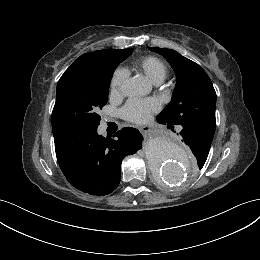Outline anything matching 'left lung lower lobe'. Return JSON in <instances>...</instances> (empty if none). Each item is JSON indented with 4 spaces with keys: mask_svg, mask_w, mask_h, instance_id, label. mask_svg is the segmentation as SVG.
I'll return each instance as SVG.
<instances>
[{
    "mask_svg": "<svg viewBox=\"0 0 260 260\" xmlns=\"http://www.w3.org/2000/svg\"><path fill=\"white\" fill-rule=\"evenodd\" d=\"M157 121L162 124L167 123L168 128L173 127L171 123L164 121L158 116ZM181 126L180 135L182 136L184 142L189 146L195 155L197 162L199 164L205 163L214 135L207 133L193 124H184Z\"/></svg>",
    "mask_w": 260,
    "mask_h": 260,
    "instance_id": "obj_1",
    "label": "left lung lower lobe"
}]
</instances>
